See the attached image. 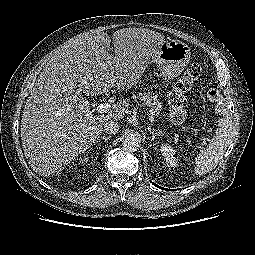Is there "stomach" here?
<instances>
[{"instance_id": "1", "label": "stomach", "mask_w": 255, "mask_h": 255, "mask_svg": "<svg viewBox=\"0 0 255 255\" xmlns=\"http://www.w3.org/2000/svg\"><path fill=\"white\" fill-rule=\"evenodd\" d=\"M190 57L191 52L187 44L178 40H166L158 48L153 61L159 66L162 76L171 80L185 69Z\"/></svg>"}]
</instances>
